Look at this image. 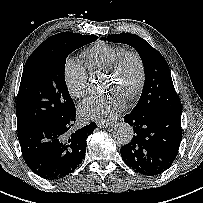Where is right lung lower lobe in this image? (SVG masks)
<instances>
[{
	"label": "right lung lower lobe",
	"mask_w": 203,
	"mask_h": 203,
	"mask_svg": "<svg viewBox=\"0 0 203 203\" xmlns=\"http://www.w3.org/2000/svg\"><path fill=\"white\" fill-rule=\"evenodd\" d=\"M76 109L68 114L32 125L18 132L23 158L38 176L57 180L72 173L86 153V139L97 127L94 122L72 131Z\"/></svg>",
	"instance_id": "98d812e1"
}]
</instances>
